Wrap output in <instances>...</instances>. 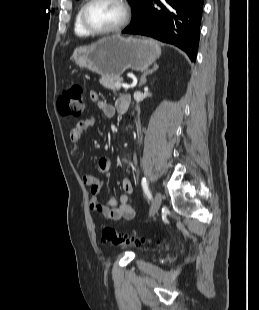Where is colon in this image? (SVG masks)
<instances>
[{
    "instance_id": "5ec220e1",
    "label": "colon",
    "mask_w": 259,
    "mask_h": 310,
    "mask_svg": "<svg viewBox=\"0 0 259 310\" xmlns=\"http://www.w3.org/2000/svg\"><path fill=\"white\" fill-rule=\"evenodd\" d=\"M57 107L64 115L80 116L84 110V90L82 86L76 83L69 84L58 95ZM101 238L104 242L112 246H135L143 247L146 241L136 235H129L118 232L110 226L102 228Z\"/></svg>"
}]
</instances>
